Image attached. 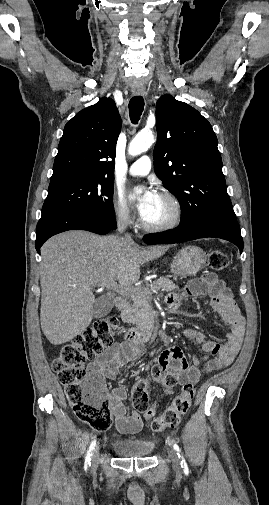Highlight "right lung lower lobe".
Returning a JSON list of instances; mask_svg holds the SVG:
<instances>
[{
	"label": "right lung lower lobe",
	"instance_id": "right-lung-lower-lobe-1",
	"mask_svg": "<svg viewBox=\"0 0 269 505\" xmlns=\"http://www.w3.org/2000/svg\"><path fill=\"white\" fill-rule=\"evenodd\" d=\"M81 229L105 235L116 229L86 215L68 210H56L42 214L36 228V250L40 254V247L51 236L67 231Z\"/></svg>",
	"mask_w": 269,
	"mask_h": 505
}]
</instances>
